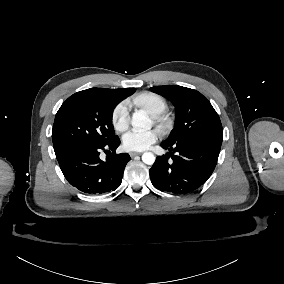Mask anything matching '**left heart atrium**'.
I'll use <instances>...</instances> for the list:
<instances>
[{"label": "left heart atrium", "mask_w": 284, "mask_h": 284, "mask_svg": "<svg viewBox=\"0 0 284 284\" xmlns=\"http://www.w3.org/2000/svg\"><path fill=\"white\" fill-rule=\"evenodd\" d=\"M159 138L155 130L129 129L122 136L123 147L127 150H144Z\"/></svg>", "instance_id": "1"}]
</instances>
